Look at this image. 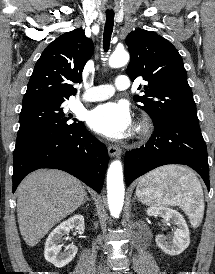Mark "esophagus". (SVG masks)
Instances as JSON below:
<instances>
[{
	"instance_id": "1",
	"label": "esophagus",
	"mask_w": 215,
	"mask_h": 274,
	"mask_svg": "<svg viewBox=\"0 0 215 274\" xmlns=\"http://www.w3.org/2000/svg\"><path fill=\"white\" fill-rule=\"evenodd\" d=\"M108 153L111 157H120L122 154V150L120 147L115 145L108 146Z\"/></svg>"
}]
</instances>
